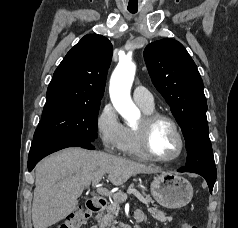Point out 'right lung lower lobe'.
Returning <instances> with one entry per match:
<instances>
[{"label":"right lung lower lobe","instance_id":"1","mask_svg":"<svg viewBox=\"0 0 238 228\" xmlns=\"http://www.w3.org/2000/svg\"><path fill=\"white\" fill-rule=\"evenodd\" d=\"M67 147L95 149L91 141L79 138L33 140L28 157V170L32 171L35 165L45 156Z\"/></svg>","mask_w":238,"mask_h":228}]
</instances>
